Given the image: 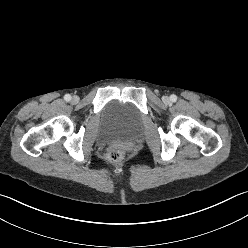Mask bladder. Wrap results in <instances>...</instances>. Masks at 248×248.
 <instances>
[{"mask_svg":"<svg viewBox=\"0 0 248 248\" xmlns=\"http://www.w3.org/2000/svg\"><path fill=\"white\" fill-rule=\"evenodd\" d=\"M141 121L142 115L134 105L112 100L100 112V135L107 142L126 140L135 134Z\"/></svg>","mask_w":248,"mask_h":248,"instance_id":"31cf9c89","label":"bladder"}]
</instances>
